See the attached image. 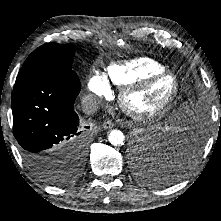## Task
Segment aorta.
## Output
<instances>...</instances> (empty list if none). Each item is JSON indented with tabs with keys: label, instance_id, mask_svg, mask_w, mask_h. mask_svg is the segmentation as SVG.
<instances>
[{
	"label": "aorta",
	"instance_id": "obj_1",
	"mask_svg": "<svg viewBox=\"0 0 221 221\" xmlns=\"http://www.w3.org/2000/svg\"><path fill=\"white\" fill-rule=\"evenodd\" d=\"M108 140L113 146H121L124 144L125 136L120 130H112L108 135Z\"/></svg>",
	"mask_w": 221,
	"mask_h": 221
}]
</instances>
